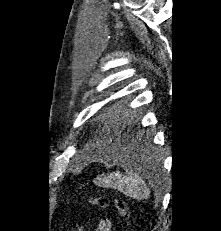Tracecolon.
Returning a JSON list of instances; mask_svg holds the SVG:
<instances>
[{
  "label": "colon",
  "instance_id": "5ec220e1",
  "mask_svg": "<svg viewBox=\"0 0 221 231\" xmlns=\"http://www.w3.org/2000/svg\"><path fill=\"white\" fill-rule=\"evenodd\" d=\"M88 202L96 207L107 208L110 205H113L121 218L126 219L128 216V206L126 202L122 199H110L107 196L99 197H90Z\"/></svg>",
  "mask_w": 221,
  "mask_h": 231
}]
</instances>
